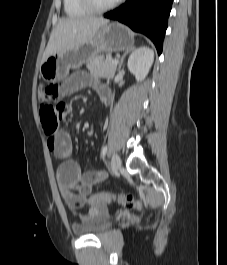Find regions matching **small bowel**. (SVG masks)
<instances>
[{
	"label": "small bowel",
	"instance_id": "small-bowel-1",
	"mask_svg": "<svg viewBox=\"0 0 227 265\" xmlns=\"http://www.w3.org/2000/svg\"><path fill=\"white\" fill-rule=\"evenodd\" d=\"M89 76V72H75L65 81H55V86H60V92L63 95L73 94L86 88L93 89L101 94L103 101H107L106 91ZM57 111L64 112L63 116L71 112L67 99H60V103H57ZM47 144L50 152L56 158L63 160L57 169L58 188L65 204L76 213L89 204L93 187L105 180L107 174L100 170L83 171L76 161L69 159L73 145L68 133L56 130L48 135ZM95 214L92 211L79 216L83 221H92L95 219Z\"/></svg>",
	"mask_w": 227,
	"mask_h": 265
}]
</instances>
